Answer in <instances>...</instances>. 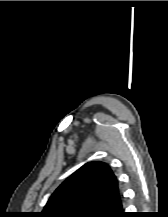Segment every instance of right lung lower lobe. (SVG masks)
Returning <instances> with one entry per match:
<instances>
[{
  "label": "right lung lower lobe",
  "mask_w": 168,
  "mask_h": 217,
  "mask_svg": "<svg viewBox=\"0 0 168 217\" xmlns=\"http://www.w3.org/2000/svg\"><path fill=\"white\" fill-rule=\"evenodd\" d=\"M131 215H129L128 213L124 212L122 207L116 211L115 213H113L112 215H110L109 217H130Z\"/></svg>",
  "instance_id": "right-lung-lower-lobe-1"
}]
</instances>
